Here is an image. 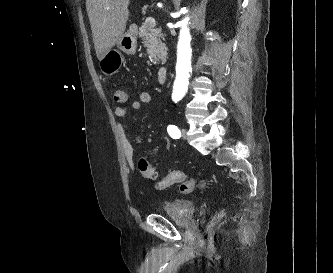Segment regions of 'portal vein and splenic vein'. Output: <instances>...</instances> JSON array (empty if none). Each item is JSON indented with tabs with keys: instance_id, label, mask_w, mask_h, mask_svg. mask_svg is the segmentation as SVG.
<instances>
[{
	"instance_id": "portal-vein-and-splenic-vein-1",
	"label": "portal vein and splenic vein",
	"mask_w": 333,
	"mask_h": 273,
	"mask_svg": "<svg viewBox=\"0 0 333 273\" xmlns=\"http://www.w3.org/2000/svg\"><path fill=\"white\" fill-rule=\"evenodd\" d=\"M146 22H148L151 26H155L156 25V22H155V19L154 18H152V17H148L147 19H146Z\"/></svg>"
}]
</instances>
